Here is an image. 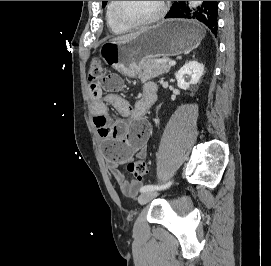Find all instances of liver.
<instances>
[{
  "label": "liver",
  "mask_w": 271,
  "mask_h": 266,
  "mask_svg": "<svg viewBox=\"0 0 271 266\" xmlns=\"http://www.w3.org/2000/svg\"><path fill=\"white\" fill-rule=\"evenodd\" d=\"M145 30H146V28H142L137 32H133V33H130V34H127V35H124V36L116 37V38L112 39L111 41L127 40V39H130V38H133V37L137 36L138 34H140L141 32H143Z\"/></svg>",
  "instance_id": "obj_1"
}]
</instances>
